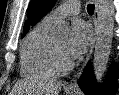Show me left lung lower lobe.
<instances>
[{
	"label": "left lung lower lobe",
	"mask_w": 119,
	"mask_h": 95,
	"mask_svg": "<svg viewBox=\"0 0 119 95\" xmlns=\"http://www.w3.org/2000/svg\"><path fill=\"white\" fill-rule=\"evenodd\" d=\"M119 76V69L112 68L109 71L107 80L102 88L98 89L95 82L91 65H88L81 76L79 86L86 95H114L116 90V78Z\"/></svg>",
	"instance_id": "obj_1"
}]
</instances>
